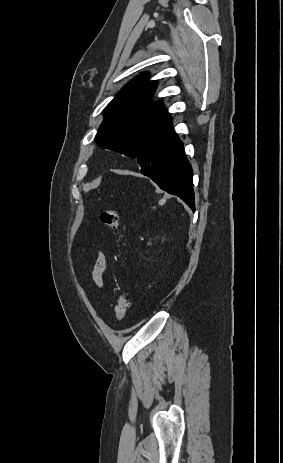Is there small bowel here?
I'll use <instances>...</instances> for the list:
<instances>
[{"label":"small bowel","instance_id":"small-bowel-1","mask_svg":"<svg viewBox=\"0 0 283 463\" xmlns=\"http://www.w3.org/2000/svg\"><path fill=\"white\" fill-rule=\"evenodd\" d=\"M106 266L107 261L104 254L99 253L95 265L92 269V279L98 288H103L104 286L103 274L106 270Z\"/></svg>","mask_w":283,"mask_h":463}]
</instances>
